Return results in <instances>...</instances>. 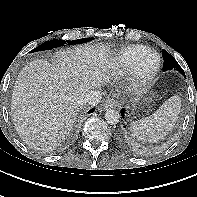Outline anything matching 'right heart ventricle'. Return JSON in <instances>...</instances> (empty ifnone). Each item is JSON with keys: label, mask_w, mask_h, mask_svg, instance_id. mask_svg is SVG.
<instances>
[{"label": "right heart ventricle", "mask_w": 197, "mask_h": 197, "mask_svg": "<svg viewBox=\"0 0 197 197\" xmlns=\"http://www.w3.org/2000/svg\"><path fill=\"white\" fill-rule=\"evenodd\" d=\"M144 45H129L116 52L108 61V69L116 74L129 73L135 62L150 52Z\"/></svg>", "instance_id": "obj_1"}]
</instances>
